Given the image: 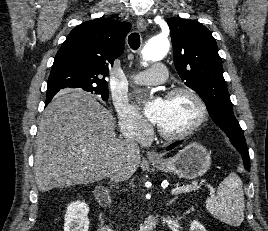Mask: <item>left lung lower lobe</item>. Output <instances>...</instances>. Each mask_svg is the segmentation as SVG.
<instances>
[{
	"mask_svg": "<svg viewBox=\"0 0 268 231\" xmlns=\"http://www.w3.org/2000/svg\"><path fill=\"white\" fill-rule=\"evenodd\" d=\"M179 144H180V142H175V143L171 144L170 146H168L166 148V150H171V149H173L174 147H176ZM238 151L242 155L245 169H247V171H250V161H249V155L247 153V150H245V149H238Z\"/></svg>",
	"mask_w": 268,
	"mask_h": 231,
	"instance_id": "1",
	"label": "left lung lower lobe"
}]
</instances>
